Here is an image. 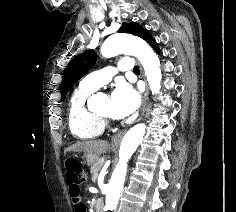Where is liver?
Listing matches in <instances>:
<instances>
[{
	"mask_svg": "<svg viewBox=\"0 0 236 212\" xmlns=\"http://www.w3.org/2000/svg\"><path fill=\"white\" fill-rule=\"evenodd\" d=\"M109 149V143L104 140L79 141L66 149V151L85 152L99 157Z\"/></svg>",
	"mask_w": 236,
	"mask_h": 212,
	"instance_id": "1",
	"label": "liver"
}]
</instances>
